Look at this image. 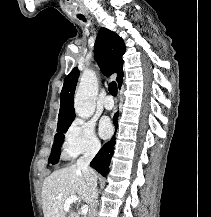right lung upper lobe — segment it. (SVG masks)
Here are the masks:
<instances>
[{"instance_id": "cb5924a9", "label": "right lung upper lobe", "mask_w": 211, "mask_h": 217, "mask_svg": "<svg viewBox=\"0 0 211 217\" xmlns=\"http://www.w3.org/2000/svg\"><path fill=\"white\" fill-rule=\"evenodd\" d=\"M95 60L97 61L101 71L106 76L117 73V82L119 87L123 80V60L125 53V45L121 37L116 33L101 28L94 47ZM79 77V70L75 67L65 78L63 88L60 95V111L58 115L57 129L72 123L75 117L74 113V92Z\"/></svg>"}]
</instances>
